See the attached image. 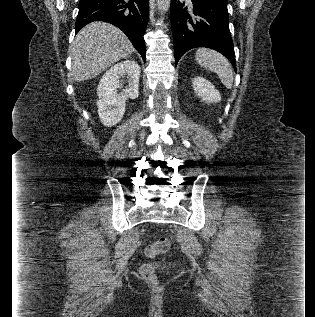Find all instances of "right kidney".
Instances as JSON below:
<instances>
[{"label": "right kidney", "instance_id": "obj_1", "mask_svg": "<svg viewBox=\"0 0 315 317\" xmlns=\"http://www.w3.org/2000/svg\"><path fill=\"white\" fill-rule=\"evenodd\" d=\"M127 76L128 86L121 94L117 88L121 87L120 78ZM140 66L131 60L115 64L102 76L97 88L98 114L103 125L111 127L122 119L126 100L136 99L139 95Z\"/></svg>", "mask_w": 315, "mask_h": 317}]
</instances>
